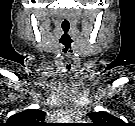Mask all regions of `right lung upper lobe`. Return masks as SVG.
<instances>
[{
  "instance_id": "1",
  "label": "right lung upper lobe",
  "mask_w": 135,
  "mask_h": 126,
  "mask_svg": "<svg viewBox=\"0 0 135 126\" xmlns=\"http://www.w3.org/2000/svg\"><path fill=\"white\" fill-rule=\"evenodd\" d=\"M45 113L39 109H28L12 115L8 123L12 126L40 125L44 121Z\"/></svg>"
}]
</instances>
